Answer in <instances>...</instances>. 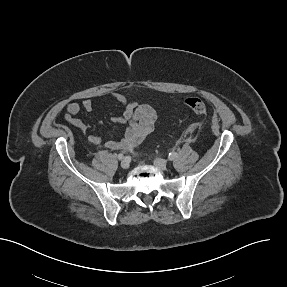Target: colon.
Segmentation results:
<instances>
[{"mask_svg": "<svg viewBox=\"0 0 287 287\" xmlns=\"http://www.w3.org/2000/svg\"><path fill=\"white\" fill-rule=\"evenodd\" d=\"M185 105L197 115H204L208 111L206 103L198 97L187 98L185 100Z\"/></svg>", "mask_w": 287, "mask_h": 287, "instance_id": "1", "label": "colon"}]
</instances>
